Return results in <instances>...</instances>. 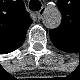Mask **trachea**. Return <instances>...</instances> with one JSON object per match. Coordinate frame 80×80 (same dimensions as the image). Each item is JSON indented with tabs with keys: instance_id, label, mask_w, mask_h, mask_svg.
<instances>
[{
	"instance_id": "trachea-1",
	"label": "trachea",
	"mask_w": 80,
	"mask_h": 80,
	"mask_svg": "<svg viewBox=\"0 0 80 80\" xmlns=\"http://www.w3.org/2000/svg\"><path fill=\"white\" fill-rule=\"evenodd\" d=\"M29 9L32 11H39L41 9V2L39 0H30Z\"/></svg>"
}]
</instances>
